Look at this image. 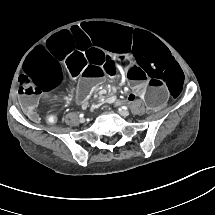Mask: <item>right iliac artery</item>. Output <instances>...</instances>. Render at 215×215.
<instances>
[{
	"instance_id": "82829eb1",
	"label": "right iliac artery",
	"mask_w": 215,
	"mask_h": 215,
	"mask_svg": "<svg viewBox=\"0 0 215 215\" xmlns=\"http://www.w3.org/2000/svg\"><path fill=\"white\" fill-rule=\"evenodd\" d=\"M79 116H80V117H83V114H80Z\"/></svg>"
}]
</instances>
